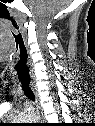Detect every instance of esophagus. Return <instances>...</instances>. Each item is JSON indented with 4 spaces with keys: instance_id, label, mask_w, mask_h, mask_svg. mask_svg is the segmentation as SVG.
<instances>
[{
    "instance_id": "esophagus-1",
    "label": "esophagus",
    "mask_w": 95,
    "mask_h": 126,
    "mask_svg": "<svg viewBox=\"0 0 95 126\" xmlns=\"http://www.w3.org/2000/svg\"><path fill=\"white\" fill-rule=\"evenodd\" d=\"M31 88H32V91H33L34 96H35L36 110H37V112L40 116V121L43 122L44 121L43 111H42V107H41V104H40V99H39V94H38L37 88L33 84L31 85Z\"/></svg>"
}]
</instances>
